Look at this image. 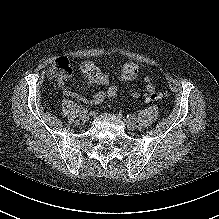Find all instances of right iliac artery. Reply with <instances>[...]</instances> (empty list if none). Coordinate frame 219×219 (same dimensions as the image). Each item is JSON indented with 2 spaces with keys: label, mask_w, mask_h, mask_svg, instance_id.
Masks as SVG:
<instances>
[{
  "label": "right iliac artery",
  "mask_w": 219,
  "mask_h": 219,
  "mask_svg": "<svg viewBox=\"0 0 219 219\" xmlns=\"http://www.w3.org/2000/svg\"><path fill=\"white\" fill-rule=\"evenodd\" d=\"M82 113H84V114H85V113H88V109H87V108H83V109H82Z\"/></svg>",
  "instance_id": "right-iliac-artery-1"
}]
</instances>
